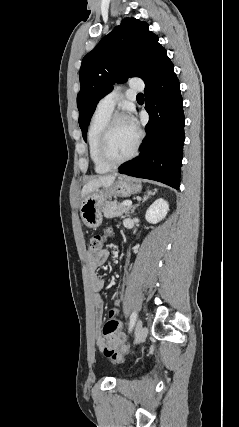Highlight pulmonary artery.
Here are the masks:
<instances>
[{
    "label": "pulmonary artery",
    "mask_w": 239,
    "mask_h": 427,
    "mask_svg": "<svg viewBox=\"0 0 239 427\" xmlns=\"http://www.w3.org/2000/svg\"><path fill=\"white\" fill-rule=\"evenodd\" d=\"M129 88L133 91H143L144 83L141 80L132 79L129 82ZM119 98L120 92L118 90H113L99 101L97 108L104 111L112 112Z\"/></svg>",
    "instance_id": "e3ab8cb5"
}]
</instances>
